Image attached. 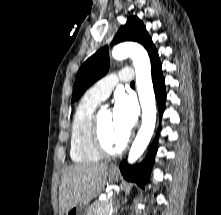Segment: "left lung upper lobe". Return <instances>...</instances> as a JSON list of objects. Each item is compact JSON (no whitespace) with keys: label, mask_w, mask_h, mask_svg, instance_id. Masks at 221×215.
Masks as SVG:
<instances>
[{"label":"left lung upper lobe","mask_w":221,"mask_h":215,"mask_svg":"<svg viewBox=\"0 0 221 215\" xmlns=\"http://www.w3.org/2000/svg\"><path fill=\"white\" fill-rule=\"evenodd\" d=\"M124 41H134L142 44L147 50L150 59L157 53L144 24L137 16L128 18L126 24L118 30L112 44ZM109 66L108 46L102 47L89 57L82 64L76 75L72 102L77 101L94 82L106 75Z\"/></svg>","instance_id":"obj_1"}]
</instances>
